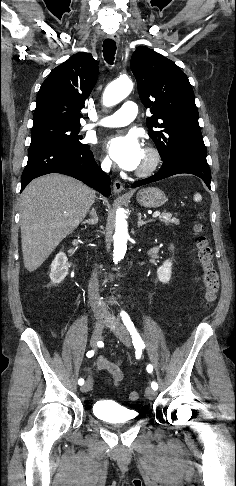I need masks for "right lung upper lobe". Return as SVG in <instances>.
I'll return each instance as SVG.
<instances>
[{
	"label": "right lung upper lobe",
	"mask_w": 236,
	"mask_h": 486,
	"mask_svg": "<svg viewBox=\"0 0 236 486\" xmlns=\"http://www.w3.org/2000/svg\"><path fill=\"white\" fill-rule=\"evenodd\" d=\"M98 62L80 52L54 68L40 87L36 98L33 126L57 123L79 125L98 77Z\"/></svg>",
	"instance_id": "obj_1"
}]
</instances>
